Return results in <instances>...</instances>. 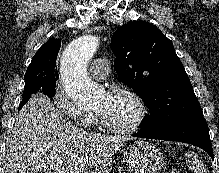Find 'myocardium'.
I'll list each match as a JSON object with an SVG mask.
<instances>
[{"label":"myocardium","instance_id":"1","mask_svg":"<svg viewBox=\"0 0 219 173\" xmlns=\"http://www.w3.org/2000/svg\"><path fill=\"white\" fill-rule=\"evenodd\" d=\"M107 93L108 94H126V95H128L137 105L138 114H137L135 121L131 125H129L127 127H116V126H113L110 123H108L101 116V114L97 112L99 122H100L101 126L103 127V129L110 132V133H114V134H118V135H129V134H133V133L137 132L144 124L146 117H147V114H148V108H147L146 103L143 100V98L132 88L127 87V86H122V85L114 86V87L110 88L107 91Z\"/></svg>","mask_w":219,"mask_h":173}]
</instances>
